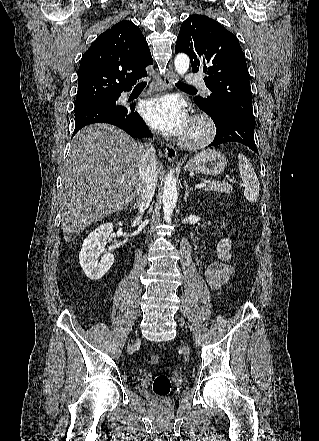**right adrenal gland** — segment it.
Returning <instances> with one entry per match:
<instances>
[{
	"label": "right adrenal gland",
	"instance_id": "1",
	"mask_svg": "<svg viewBox=\"0 0 319 441\" xmlns=\"http://www.w3.org/2000/svg\"><path fill=\"white\" fill-rule=\"evenodd\" d=\"M132 207H133V209H136V208H137V205H136V204H134V205H133Z\"/></svg>",
	"mask_w": 319,
	"mask_h": 441
}]
</instances>
